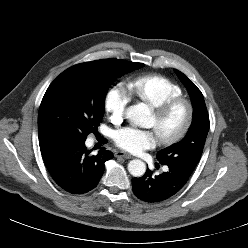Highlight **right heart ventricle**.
Segmentation results:
<instances>
[{"label": "right heart ventricle", "mask_w": 248, "mask_h": 248, "mask_svg": "<svg viewBox=\"0 0 248 248\" xmlns=\"http://www.w3.org/2000/svg\"><path fill=\"white\" fill-rule=\"evenodd\" d=\"M131 96L146 102L151 107H157L164 101L180 97L183 90L179 84L161 75H140L128 83Z\"/></svg>", "instance_id": "e07e8e85"}]
</instances>
